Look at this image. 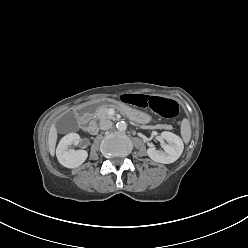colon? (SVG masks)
Returning a JSON list of instances; mask_svg holds the SVG:
<instances>
[{
	"label": "colon",
	"mask_w": 248,
	"mask_h": 248,
	"mask_svg": "<svg viewBox=\"0 0 248 248\" xmlns=\"http://www.w3.org/2000/svg\"><path fill=\"white\" fill-rule=\"evenodd\" d=\"M121 100L140 107H149L165 118H173L178 113V104L176 101L159 96L148 97L147 95L122 94Z\"/></svg>",
	"instance_id": "1"
}]
</instances>
